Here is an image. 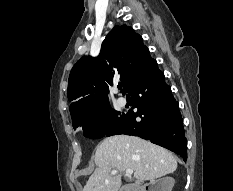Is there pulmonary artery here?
I'll use <instances>...</instances> for the list:
<instances>
[{
  "mask_svg": "<svg viewBox=\"0 0 233 191\" xmlns=\"http://www.w3.org/2000/svg\"><path fill=\"white\" fill-rule=\"evenodd\" d=\"M117 101L120 106H125L127 103V100L125 97H119Z\"/></svg>",
  "mask_w": 233,
  "mask_h": 191,
  "instance_id": "e3ab8cb5",
  "label": "pulmonary artery"
}]
</instances>
